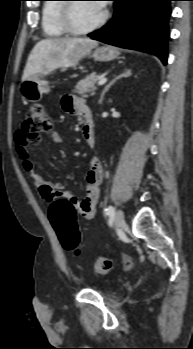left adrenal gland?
Segmentation results:
<instances>
[{"instance_id": "left-adrenal-gland-1", "label": "left adrenal gland", "mask_w": 193, "mask_h": 349, "mask_svg": "<svg viewBox=\"0 0 193 349\" xmlns=\"http://www.w3.org/2000/svg\"><path fill=\"white\" fill-rule=\"evenodd\" d=\"M131 75V70L130 69H125L123 73L120 75L116 76L108 85L105 86L103 91L101 92L100 99H99V104H102L104 95L105 93L110 89V87L120 78L122 77H129Z\"/></svg>"}]
</instances>
